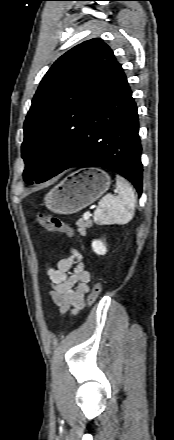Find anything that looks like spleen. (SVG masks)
I'll use <instances>...</instances> for the list:
<instances>
[{"instance_id": "obj_1", "label": "spleen", "mask_w": 174, "mask_h": 440, "mask_svg": "<svg viewBox=\"0 0 174 440\" xmlns=\"http://www.w3.org/2000/svg\"><path fill=\"white\" fill-rule=\"evenodd\" d=\"M116 191L103 197L94 212V221L98 225H123L128 223L134 215L136 198L128 181L116 176Z\"/></svg>"}]
</instances>
